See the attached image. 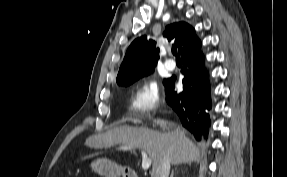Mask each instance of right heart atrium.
Here are the masks:
<instances>
[{
  "label": "right heart atrium",
  "mask_w": 287,
  "mask_h": 177,
  "mask_svg": "<svg viewBox=\"0 0 287 177\" xmlns=\"http://www.w3.org/2000/svg\"><path fill=\"white\" fill-rule=\"evenodd\" d=\"M160 102V90L156 81L148 80L140 83L132 94V106L139 112H148Z\"/></svg>",
  "instance_id": "obj_1"
}]
</instances>
